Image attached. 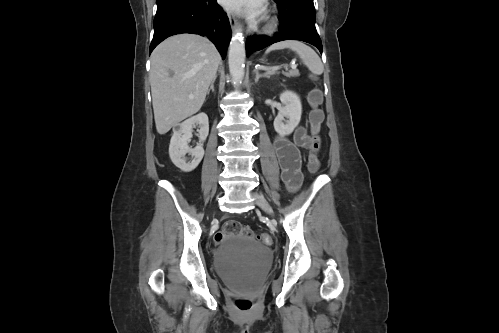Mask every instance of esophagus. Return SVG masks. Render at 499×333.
Instances as JSON below:
<instances>
[{
    "label": "esophagus",
    "instance_id": "1",
    "mask_svg": "<svg viewBox=\"0 0 499 333\" xmlns=\"http://www.w3.org/2000/svg\"><path fill=\"white\" fill-rule=\"evenodd\" d=\"M229 22H230L231 28L233 30H235L238 26V21H237V18L234 14H229Z\"/></svg>",
    "mask_w": 499,
    "mask_h": 333
}]
</instances>
